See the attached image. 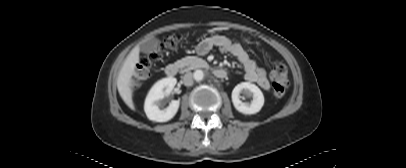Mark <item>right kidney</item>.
I'll return each mask as SVG.
<instances>
[{"label":"right kidney","mask_w":406,"mask_h":168,"mask_svg":"<svg viewBox=\"0 0 406 168\" xmlns=\"http://www.w3.org/2000/svg\"><path fill=\"white\" fill-rule=\"evenodd\" d=\"M177 80L173 77H168L156 82L150 89L144 104V111L149 120L155 122H167L171 120L177 113L180 102L172 100L169 106L160 110L159 100L172 91Z\"/></svg>","instance_id":"obj_1"}]
</instances>
